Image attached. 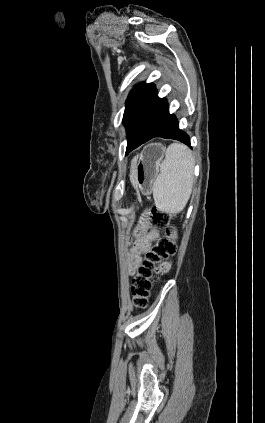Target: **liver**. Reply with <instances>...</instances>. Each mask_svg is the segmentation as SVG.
<instances>
[{
    "instance_id": "liver-1",
    "label": "liver",
    "mask_w": 265,
    "mask_h": 423,
    "mask_svg": "<svg viewBox=\"0 0 265 423\" xmlns=\"http://www.w3.org/2000/svg\"><path fill=\"white\" fill-rule=\"evenodd\" d=\"M132 167H134V162H133V164H132Z\"/></svg>"
}]
</instances>
